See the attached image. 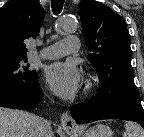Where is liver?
Masks as SVG:
<instances>
[{
	"mask_svg": "<svg viewBox=\"0 0 144 137\" xmlns=\"http://www.w3.org/2000/svg\"><path fill=\"white\" fill-rule=\"evenodd\" d=\"M43 121L26 111L0 108V137H40Z\"/></svg>",
	"mask_w": 144,
	"mask_h": 137,
	"instance_id": "6515ba94",
	"label": "liver"
}]
</instances>
